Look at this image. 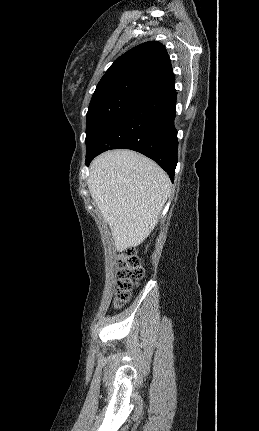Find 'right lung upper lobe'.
Masks as SVG:
<instances>
[{"label": "right lung upper lobe", "instance_id": "cb5924a9", "mask_svg": "<svg viewBox=\"0 0 259 431\" xmlns=\"http://www.w3.org/2000/svg\"><path fill=\"white\" fill-rule=\"evenodd\" d=\"M174 80L171 61L164 45L158 41H149L117 58L101 78L95 92L129 81H138L155 89Z\"/></svg>", "mask_w": 259, "mask_h": 431}]
</instances>
